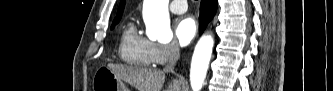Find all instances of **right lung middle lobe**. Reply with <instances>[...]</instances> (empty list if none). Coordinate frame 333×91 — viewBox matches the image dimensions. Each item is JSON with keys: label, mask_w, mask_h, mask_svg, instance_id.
<instances>
[{"label": "right lung middle lobe", "mask_w": 333, "mask_h": 91, "mask_svg": "<svg viewBox=\"0 0 333 91\" xmlns=\"http://www.w3.org/2000/svg\"><path fill=\"white\" fill-rule=\"evenodd\" d=\"M121 18H117V19H114L113 23H112V26H111V29H113L115 27V25L120 21Z\"/></svg>", "instance_id": "right-lung-middle-lobe-1"}]
</instances>
